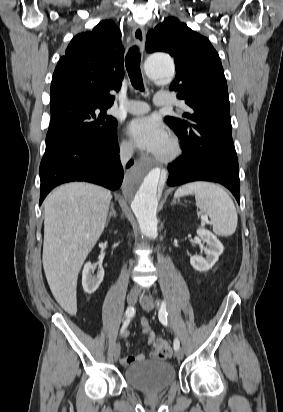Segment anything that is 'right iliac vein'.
Here are the masks:
<instances>
[{
    "instance_id": "63e3f726",
    "label": "right iliac vein",
    "mask_w": 283,
    "mask_h": 412,
    "mask_svg": "<svg viewBox=\"0 0 283 412\" xmlns=\"http://www.w3.org/2000/svg\"><path fill=\"white\" fill-rule=\"evenodd\" d=\"M139 294V290L137 288H133L130 290L128 296H127V302L129 305H133L136 302L137 296ZM120 350H121V346L120 344L117 342L113 345V356L115 359H118L120 356Z\"/></svg>"
}]
</instances>
